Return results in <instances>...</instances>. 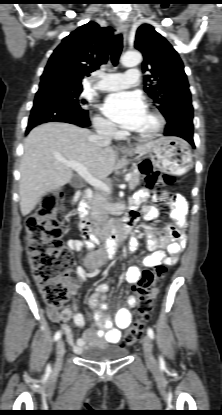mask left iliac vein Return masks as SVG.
<instances>
[{
	"label": "left iliac vein",
	"instance_id": "left-iliac-vein-1",
	"mask_svg": "<svg viewBox=\"0 0 222 415\" xmlns=\"http://www.w3.org/2000/svg\"><path fill=\"white\" fill-rule=\"evenodd\" d=\"M143 350H144V356L147 364H153L154 363V357L152 354V341L149 336H144L143 341Z\"/></svg>",
	"mask_w": 222,
	"mask_h": 415
}]
</instances>
